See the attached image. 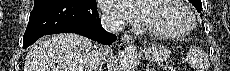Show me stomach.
I'll list each match as a JSON object with an SVG mask.
<instances>
[{
  "instance_id": "1",
  "label": "stomach",
  "mask_w": 230,
  "mask_h": 71,
  "mask_svg": "<svg viewBox=\"0 0 230 71\" xmlns=\"http://www.w3.org/2000/svg\"><path fill=\"white\" fill-rule=\"evenodd\" d=\"M170 54V50L160 44H152L144 52L145 58L151 62H164L168 60Z\"/></svg>"
}]
</instances>
